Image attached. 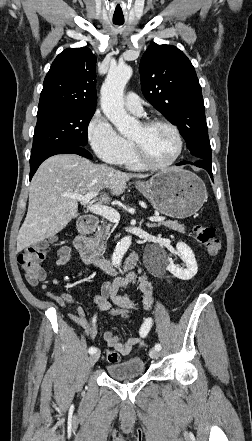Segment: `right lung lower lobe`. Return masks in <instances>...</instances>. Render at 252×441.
I'll list each match as a JSON object with an SVG mask.
<instances>
[{
	"mask_svg": "<svg viewBox=\"0 0 252 441\" xmlns=\"http://www.w3.org/2000/svg\"><path fill=\"white\" fill-rule=\"evenodd\" d=\"M56 154H77L83 157H86L88 159H92V155L85 150L82 146H60L56 148L49 149L36 158L30 159V180L36 170L38 169L39 165L49 158L50 156L56 155Z\"/></svg>",
	"mask_w": 252,
	"mask_h": 441,
	"instance_id": "98d812e1",
	"label": "right lung lower lobe"
}]
</instances>
